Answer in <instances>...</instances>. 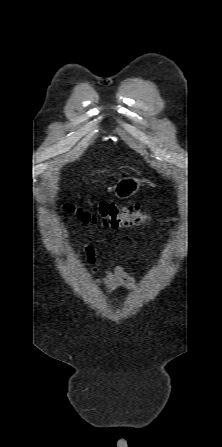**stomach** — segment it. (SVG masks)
I'll return each instance as SVG.
<instances>
[{
	"instance_id": "1",
	"label": "stomach",
	"mask_w": 222,
	"mask_h": 447,
	"mask_svg": "<svg viewBox=\"0 0 222 447\" xmlns=\"http://www.w3.org/2000/svg\"><path fill=\"white\" fill-rule=\"evenodd\" d=\"M143 180L132 176L120 177L112 186L111 191L118 199H128L137 193Z\"/></svg>"
}]
</instances>
